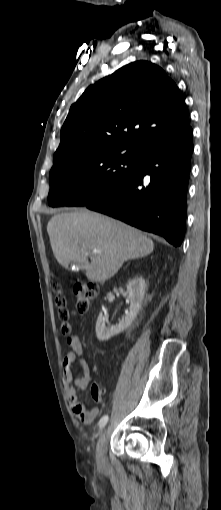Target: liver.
Returning a JSON list of instances; mask_svg holds the SVG:
<instances>
[{
  "label": "liver",
  "instance_id": "6515ba94",
  "mask_svg": "<svg viewBox=\"0 0 221 510\" xmlns=\"http://www.w3.org/2000/svg\"><path fill=\"white\" fill-rule=\"evenodd\" d=\"M47 232L57 262L65 268L76 263L94 282L107 281L125 261L145 257L154 249L153 241L139 230L87 210L52 216Z\"/></svg>",
  "mask_w": 221,
  "mask_h": 510
}]
</instances>
